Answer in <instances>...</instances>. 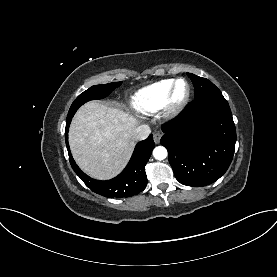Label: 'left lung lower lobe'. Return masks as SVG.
Here are the masks:
<instances>
[{
	"instance_id": "left-lung-lower-lobe-1",
	"label": "left lung lower lobe",
	"mask_w": 277,
	"mask_h": 277,
	"mask_svg": "<svg viewBox=\"0 0 277 277\" xmlns=\"http://www.w3.org/2000/svg\"><path fill=\"white\" fill-rule=\"evenodd\" d=\"M176 179L200 187L218 180L228 169L235 149L236 129L222 93L194 99L174 120L162 125Z\"/></svg>"
}]
</instances>
